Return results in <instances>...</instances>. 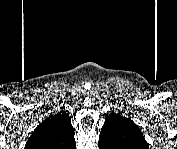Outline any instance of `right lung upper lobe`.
<instances>
[{
	"label": "right lung upper lobe",
	"instance_id": "cb5924a9",
	"mask_svg": "<svg viewBox=\"0 0 177 149\" xmlns=\"http://www.w3.org/2000/svg\"><path fill=\"white\" fill-rule=\"evenodd\" d=\"M74 129L64 112L51 115L40 123L28 142V149H74Z\"/></svg>",
	"mask_w": 177,
	"mask_h": 149
}]
</instances>
